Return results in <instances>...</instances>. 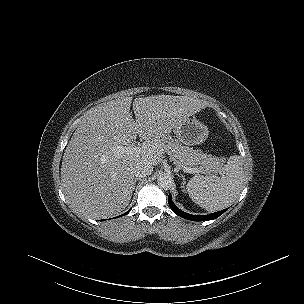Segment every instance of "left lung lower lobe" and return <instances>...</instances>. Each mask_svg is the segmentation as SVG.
<instances>
[{
    "mask_svg": "<svg viewBox=\"0 0 304 304\" xmlns=\"http://www.w3.org/2000/svg\"><path fill=\"white\" fill-rule=\"evenodd\" d=\"M168 203L170 208L172 209V211L177 214L180 217H183L185 219L188 220H193V221H208V220H213L218 218L220 215H222L227 209H224L222 211H218L209 215H202V216H197V215H191L188 214L182 210H180L178 207H176V205L173 203L172 199H171V195L169 194L168 196Z\"/></svg>",
    "mask_w": 304,
    "mask_h": 304,
    "instance_id": "1",
    "label": "left lung lower lobe"
}]
</instances>
